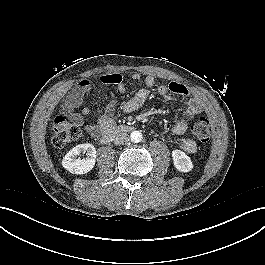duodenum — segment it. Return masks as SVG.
Here are the masks:
<instances>
[{"label":"duodenum","instance_id":"obj_1","mask_svg":"<svg viewBox=\"0 0 265 265\" xmlns=\"http://www.w3.org/2000/svg\"><path fill=\"white\" fill-rule=\"evenodd\" d=\"M132 127L129 126V125H125V124H122V125H118L116 127H113L112 129L108 130V131H103V132H100L99 134H97L96 136L94 137H97L99 138V140L103 143L105 142H109L111 141L112 139H114L116 136H119L123 133H127V132H130L132 131Z\"/></svg>","mask_w":265,"mask_h":265}]
</instances>
